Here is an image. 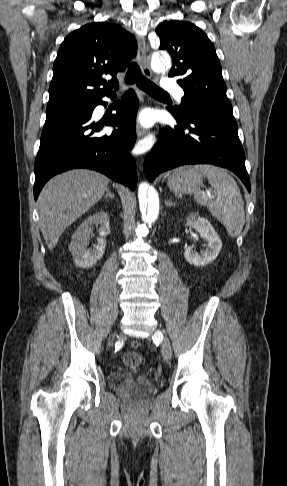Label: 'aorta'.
I'll list each match as a JSON object with an SVG mask.
<instances>
[{
    "mask_svg": "<svg viewBox=\"0 0 287 486\" xmlns=\"http://www.w3.org/2000/svg\"><path fill=\"white\" fill-rule=\"evenodd\" d=\"M170 66L171 59L168 55L162 56L159 53H153L151 57V68L154 71H164L170 68ZM138 197L142 220L148 226H151L157 220L159 214L158 193L151 186H140Z\"/></svg>",
    "mask_w": 287,
    "mask_h": 486,
    "instance_id": "obj_1",
    "label": "aorta"
}]
</instances>
